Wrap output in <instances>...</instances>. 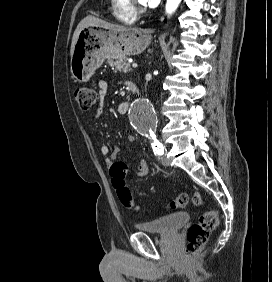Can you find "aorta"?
Returning <instances> with one entry per match:
<instances>
[{
    "mask_svg": "<svg viewBox=\"0 0 272 282\" xmlns=\"http://www.w3.org/2000/svg\"><path fill=\"white\" fill-rule=\"evenodd\" d=\"M181 0H167L166 13L173 14ZM129 120L132 127L140 134H145L150 137H155L154 122L155 112L152 104L145 98L135 100L129 110Z\"/></svg>",
    "mask_w": 272,
    "mask_h": 282,
    "instance_id": "aorta-1",
    "label": "aorta"
}]
</instances>
